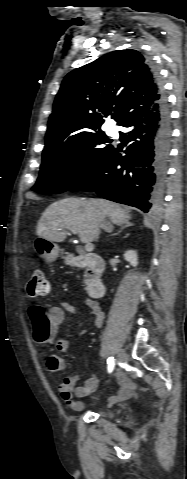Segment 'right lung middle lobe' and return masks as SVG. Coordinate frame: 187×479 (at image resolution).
Instances as JSON below:
<instances>
[{"mask_svg": "<svg viewBox=\"0 0 187 479\" xmlns=\"http://www.w3.org/2000/svg\"><path fill=\"white\" fill-rule=\"evenodd\" d=\"M101 130L75 136L44 149L39 178L32 190L43 194L69 191L87 177L108 155L112 146Z\"/></svg>", "mask_w": 187, "mask_h": 479, "instance_id": "1", "label": "right lung middle lobe"}]
</instances>
